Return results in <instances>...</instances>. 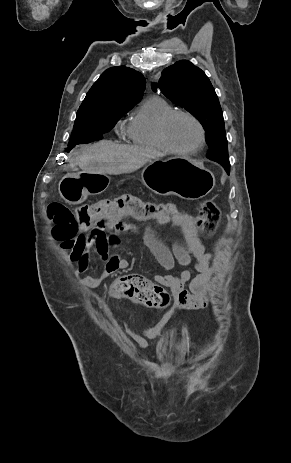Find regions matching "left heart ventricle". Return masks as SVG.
Wrapping results in <instances>:
<instances>
[{"label": "left heart ventricle", "mask_w": 291, "mask_h": 463, "mask_svg": "<svg viewBox=\"0 0 291 463\" xmlns=\"http://www.w3.org/2000/svg\"><path fill=\"white\" fill-rule=\"evenodd\" d=\"M168 137L175 147L189 149L199 142L200 132L192 120L186 117H177L168 127Z\"/></svg>", "instance_id": "obj_1"}]
</instances>
